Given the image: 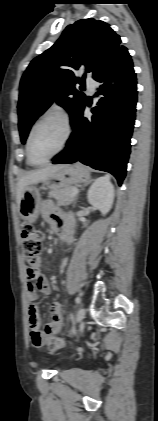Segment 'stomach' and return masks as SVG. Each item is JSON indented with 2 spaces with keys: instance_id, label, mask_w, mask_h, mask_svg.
I'll use <instances>...</instances> for the list:
<instances>
[{
  "instance_id": "stomach-1",
  "label": "stomach",
  "mask_w": 158,
  "mask_h": 421,
  "mask_svg": "<svg viewBox=\"0 0 158 421\" xmlns=\"http://www.w3.org/2000/svg\"><path fill=\"white\" fill-rule=\"evenodd\" d=\"M90 179L89 170L80 163L65 165L44 180V184L50 189H61L75 184L87 182ZM41 197L39 190L33 186H27L21 196L19 212L24 220L33 223L39 215Z\"/></svg>"
}]
</instances>
